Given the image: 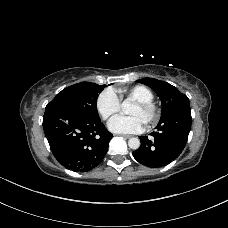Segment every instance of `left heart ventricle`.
I'll list each match as a JSON object with an SVG mask.
<instances>
[{
  "label": "left heart ventricle",
  "instance_id": "obj_1",
  "mask_svg": "<svg viewBox=\"0 0 228 228\" xmlns=\"http://www.w3.org/2000/svg\"><path fill=\"white\" fill-rule=\"evenodd\" d=\"M129 114L131 115H137L139 117H141V119L146 123L147 120L149 119V114L148 112L142 110L140 107H138L137 105L133 104V106L130 109Z\"/></svg>",
  "mask_w": 228,
  "mask_h": 228
}]
</instances>
